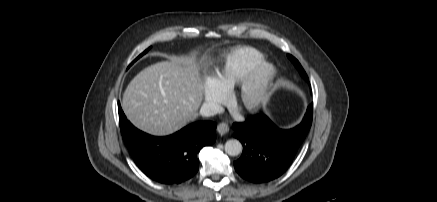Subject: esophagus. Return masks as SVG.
Here are the masks:
<instances>
[{
    "label": "esophagus",
    "instance_id": "esophagus-1",
    "mask_svg": "<svg viewBox=\"0 0 437 202\" xmlns=\"http://www.w3.org/2000/svg\"><path fill=\"white\" fill-rule=\"evenodd\" d=\"M217 131H218V133H219L221 136H223V135H225V134L228 133V131H229V125H228L227 123H225V122H221V123H219L218 126H217Z\"/></svg>",
    "mask_w": 437,
    "mask_h": 202
}]
</instances>
